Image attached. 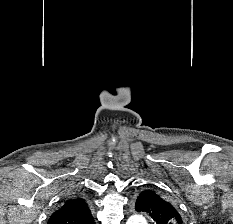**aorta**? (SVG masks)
Instances as JSON below:
<instances>
[{"mask_svg":"<svg viewBox=\"0 0 233 224\" xmlns=\"http://www.w3.org/2000/svg\"><path fill=\"white\" fill-rule=\"evenodd\" d=\"M126 224H147V221L142 215L136 214L129 217Z\"/></svg>","mask_w":233,"mask_h":224,"instance_id":"aorta-1","label":"aorta"}]
</instances>
